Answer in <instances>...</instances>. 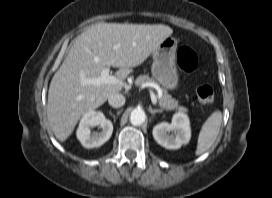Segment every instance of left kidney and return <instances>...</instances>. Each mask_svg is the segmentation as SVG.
Listing matches in <instances>:
<instances>
[{"label": "left kidney", "mask_w": 272, "mask_h": 198, "mask_svg": "<svg viewBox=\"0 0 272 198\" xmlns=\"http://www.w3.org/2000/svg\"><path fill=\"white\" fill-rule=\"evenodd\" d=\"M153 137L158 144L167 149H178L187 144L191 138L188 116L181 112L174 114L171 124L162 122L153 128Z\"/></svg>", "instance_id": "1"}]
</instances>
